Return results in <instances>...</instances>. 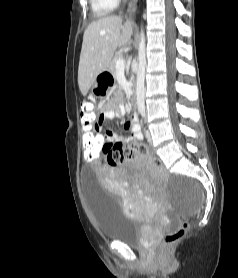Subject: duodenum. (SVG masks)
<instances>
[{"label": "duodenum", "mask_w": 238, "mask_h": 278, "mask_svg": "<svg viewBox=\"0 0 238 278\" xmlns=\"http://www.w3.org/2000/svg\"><path fill=\"white\" fill-rule=\"evenodd\" d=\"M131 105L134 109L137 108V100H136V95L133 94L132 97H131Z\"/></svg>", "instance_id": "duodenum-1"}]
</instances>
